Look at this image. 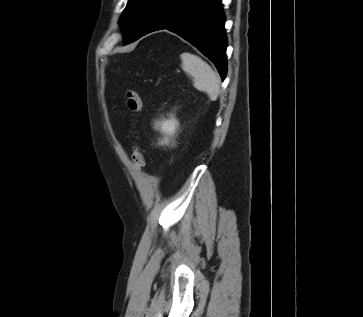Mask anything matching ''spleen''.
I'll return each mask as SVG.
<instances>
[{
    "label": "spleen",
    "instance_id": "3e777b00",
    "mask_svg": "<svg viewBox=\"0 0 363 317\" xmlns=\"http://www.w3.org/2000/svg\"><path fill=\"white\" fill-rule=\"evenodd\" d=\"M180 58L182 69L193 77L194 87L206 92L210 99L215 100L220 92V78L210 65L191 53H182Z\"/></svg>",
    "mask_w": 363,
    "mask_h": 317
}]
</instances>
